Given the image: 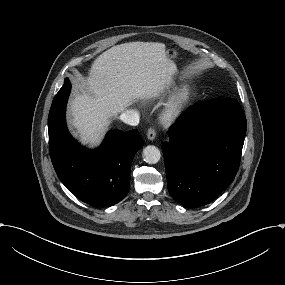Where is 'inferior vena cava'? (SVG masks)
I'll return each instance as SVG.
<instances>
[{"label": "inferior vena cava", "mask_w": 285, "mask_h": 285, "mask_svg": "<svg viewBox=\"0 0 285 285\" xmlns=\"http://www.w3.org/2000/svg\"><path fill=\"white\" fill-rule=\"evenodd\" d=\"M139 112L134 109H129L125 110L121 115H120V120L123 121L126 124L136 126L139 124Z\"/></svg>", "instance_id": "inferior-vena-cava-1"}]
</instances>
